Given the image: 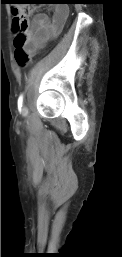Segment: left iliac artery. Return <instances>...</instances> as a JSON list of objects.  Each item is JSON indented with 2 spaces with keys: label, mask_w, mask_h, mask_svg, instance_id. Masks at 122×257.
Returning <instances> with one entry per match:
<instances>
[{
  "label": "left iliac artery",
  "mask_w": 122,
  "mask_h": 257,
  "mask_svg": "<svg viewBox=\"0 0 122 257\" xmlns=\"http://www.w3.org/2000/svg\"><path fill=\"white\" fill-rule=\"evenodd\" d=\"M23 106V94H21L18 98V108Z\"/></svg>",
  "instance_id": "obj_1"
}]
</instances>
